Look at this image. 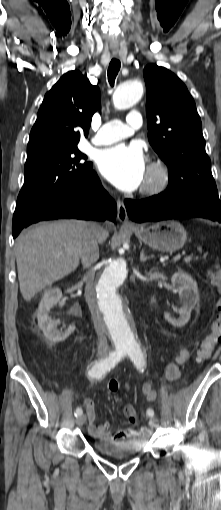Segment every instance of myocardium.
<instances>
[{
	"mask_svg": "<svg viewBox=\"0 0 221 510\" xmlns=\"http://www.w3.org/2000/svg\"><path fill=\"white\" fill-rule=\"evenodd\" d=\"M150 180L144 183L140 189V193L144 196H156L163 193L170 182V173L161 160L152 161L147 168Z\"/></svg>",
	"mask_w": 221,
	"mask_h": 510,
	"instance_id": "myocardium-1",
	"label": "myocardium"
}]
</instances>
